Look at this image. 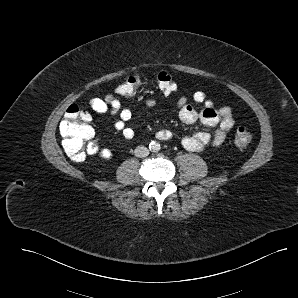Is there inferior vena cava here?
<instances>
[{
  "label": "inferior vena cava",
  "instance_id": "602c4592",
  "mask_svg": "<svg viewBox=\"0 0 298 298\" xmlns=\"http://www.w3.org/2000/svg\"><path fill=\"white\" fill-rule=\"evenodd\" d=\"M136 157L143 158L149 155V149L145 146H137L134 150Z\"/></svg>",
  "mask_w": 298,
  "mask_h": 298
}]
</instances>
